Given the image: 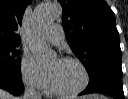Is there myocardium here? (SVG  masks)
I'll use <instances>...</instances> for the list:
<instances>
[{
  "label": "myocardium",
  "mask_w": 128,
  "mask_h": 99,
  "mask_svg": "<svg viewBox=\"0 0 128 99\" xmlns=\"http://www.w3.org/2000/svg\"><path fill=\"white\" fill-rule=\"evenodd\" d=\"M59 60L63 61V62H74L77 65H79V67L81 68V70L83 72L84 80H83L82 85L79 88H77L73 91H62L56 86V84L54 83V81L52 79V76L48 73V80H49V85H50L51 91L54 94L61 96V97H74V96L81 94L87 88V86L89 85V82H90V76H89V72H88L86 66L80 59L75 58V57L66 56V57L59 58Z\"/></svg>",
  "instance_id": "obj_1"
}]
</instances>
